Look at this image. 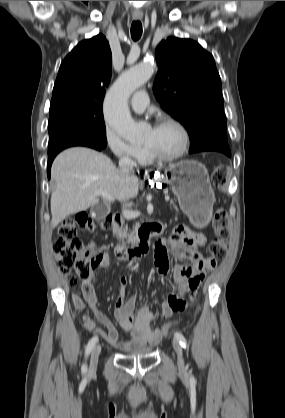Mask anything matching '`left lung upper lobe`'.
Wrapping results in <instances>:
<instances>
[{"label":"left lung upper lobe","instance_id":"1","mask_svg":"<svg viewBox=\"0 0 285 418\" xmlns=\"http://www.w3.org/2000/svg\"><path fill=\"white\" fill-rule=\"evenodd\" d=\"M158 73L153 92L190 135V153H231L221 79L213 56L197 42L170 37L155 51Z\"/></svg>","mask_w":285,"mask_h":418}]
</instances>
